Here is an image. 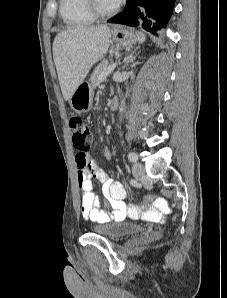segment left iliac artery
I'll return each mask as SVG.
<instances>
[{"label":"left iliac artery","mask_w":227,"mask_h":298,"mask_svg":"<svg viewBox=\"0 0 227 298\" xmlns=\"http://www.w3.org/2000/svg\"><path fill=\"white\" fill-rule=\"evenodd\" d=\"M128 159H129L131 162H136V161H137V155H136V153H134V152H130V153L128 154Z\"/></svg>","instance_id":"obj_1"}]
</instances>
